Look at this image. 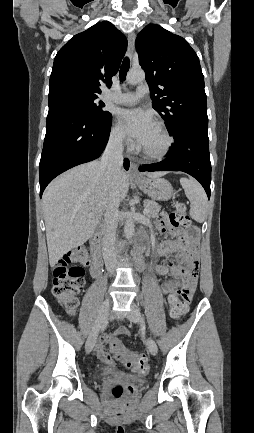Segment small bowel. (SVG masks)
I'll list each match as a JSON object with an SVG mask.
<instances>
[{"label":"small bowel","mask_w":254,"mask_h":433,"mask_svg":"<svg viewBox=\"0 0 254 433\" xmlns=\"http://www.w3.org/2000/svg\"><path fill=\"white\" fill-rule=\"evenodd\" d=\"M158 229L165 234L169 231L167 223L160 220ZM172 233L178 236L175 240H163L157 249L159 257L163 259L161 264L154 267L155 272L160 276L172 275L166 282L161 285L164 294L177 295L184 302L190 300L196 284L198 275L197 259V237L196 235L183 234L180 230L173 229ZM172 253H177L178 263L173 264L168 261ZM175 290V294H172ZM120 329L113 334H105L101 337L97 345V354L100 359L114 366L112 356L107 352L105 345L113 341L115 335H119Z\"/></svg>","instance_id":"c3829d8e"}]
</instances>
